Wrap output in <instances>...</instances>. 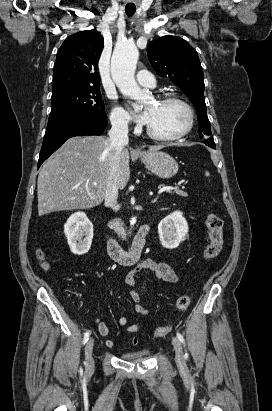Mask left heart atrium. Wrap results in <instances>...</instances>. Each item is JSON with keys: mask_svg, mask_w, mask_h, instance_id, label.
Here are the masks:
<instances>
[{"mask_svg": "<svg viewBox=\"0 0 272 411\" xmlns=\"http://www.w3.org/2000/svg\"><path fill=\"white\" fill-rule=\"evenodd\" d=\"M136 117L139 122L148 124L151 119V110L145 109L144 111H136Z\"/></svg>", "mask_w": 272, "mask_h": 411, "instance_id": "left-heart-atrium-1", "label": "left heart atrium"}]
</instances>
